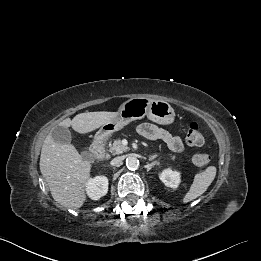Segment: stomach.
<instances>
[{
  "instance_id": "0dacf381",
  "label": "stomach",
  "mask_w": 261,
  "mask_h": 261,
  "mask_svg": "<svg viewBox=\"0 0 261 261\" xmlns=\"http://www.w3.org/2000/svg\"><path fill=\"white\" fill-rule=\"evenodd\" d=\"M145 116L153 122L166 125L173 122L175 112L171 105L164 100L147 96L132 97L119 107L118 116L106 123L95 139H105L130 122Z\"/></svg>"
}]
</instances>
